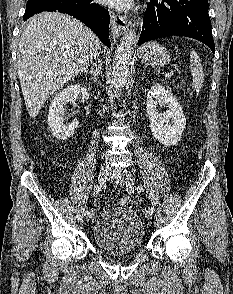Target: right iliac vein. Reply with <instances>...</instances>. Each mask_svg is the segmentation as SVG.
Wrapping results in <instances>:
<instances>
[{
	"label": "right iliac vein",
	"mask_w": 233,
	"mask_h": 294,
	"mask_svg": "<svg viewBox=\"0 0 233 294\" xmlns=\"http://www.w3.org/2000/svg\"><path fill=\"white\" fill-rule=\"evenodd\" d=\"M109 174H110V168L103 167L100 170L99 175H98L99 182H104ZM93 216H94V211L92 210L90 212V214L88 216H86L87 221H90L93 218Z\"/></svg>",
	"instance_id": "1"
}]
</instances>
